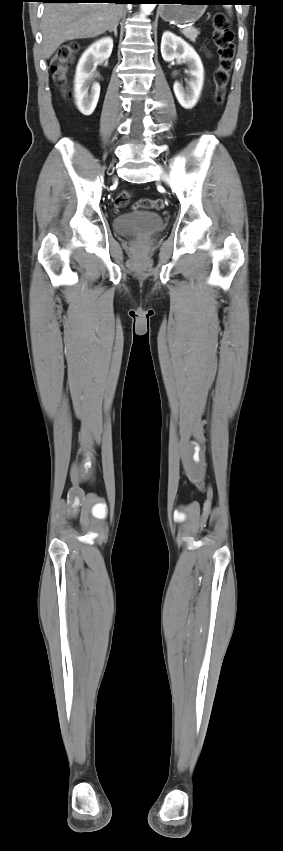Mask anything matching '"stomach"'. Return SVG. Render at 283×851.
Returning <instances> with one entry per match:
<instances>
[{
  "instance_id": "obj_1",
  "label": "stomach",
  "mask_w": 283,
  "mask_h": 851,
  "mask_svg": "<svg viewBox=\"0 0 283 851\" xmlns=\"http://www.w3.org/2000/svg\"><path fill=\"white\" fill-rule=\"evenodd\" d=\"M207 0H169L160 6L159 15L164 21L186 24L197 21L205 12Z\"/></svg>"
}]
</instances>
